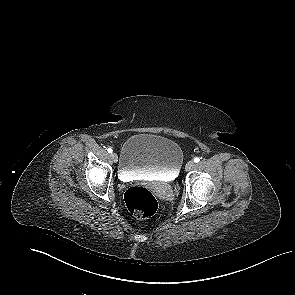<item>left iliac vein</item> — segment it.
Masks as SVG:
<instances>
[{"label": "left iliac vein", "mask_w": 295, "mask_h": 295, "mask_svg": "<svg viewBox=\"0 0 295 295\" xmlns=\"http://www.w3.org/2000/svg\"><path fill=\"white\" fill-rule=\"evenodd\" d=\"M194 167V162L193 161H188L186 166H185V169L187 171L191 170L192 168Z\"/></svg>", "instance_id": "4c4485c4"}]
</instances>
